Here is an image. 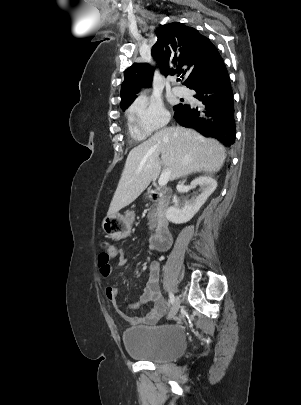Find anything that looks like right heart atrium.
Segmentation results:
<instances>
[{"label": "right heart atrium", "mask_w": 301, "mask_h": 405, "mask_svg": "<svg viewBox=\"0 0 301 405\" xmlns=\"http://www.w3.org/2000/svg\"><path fill=\"white\" fill-rule=\"evenodd\" d=\"M136 132L149 135L163 128L169 121V113L158 99L141 98L136 100L128 111Z\"/></svg>", "instance_id": "1"}]
</instances>
